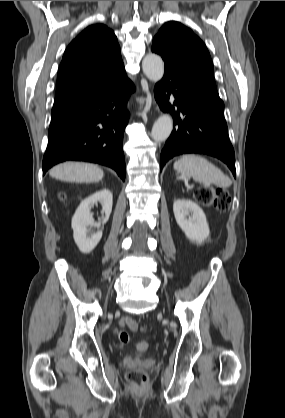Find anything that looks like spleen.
Listing matches in <instances>:
<instances>
[{"label":"spleen","mask_w":285,"mask_h":418,"mask_svg":"<svg viewBox=\"0 0 285 418\" xmlns=\"http://www.w3.org/2000/svg\"><path fill=\"white\" fill-rule=\"evenodd\" d=\"M174 169L182 176L192 177L196 181L212 183L222 188H227L232 184L231 179L218 167L198 155L182 156L174 163Z\"/></svg>","instance_id":"3e777b00"}]
</instances>
